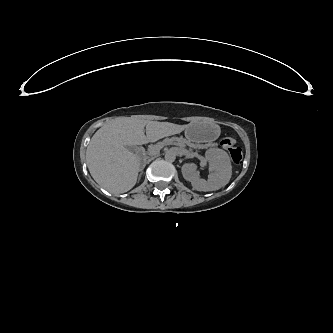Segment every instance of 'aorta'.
<instances>
[{
    "label": "aorta",
    "instance_id": "1",
    "mask_svg": "<svg viewBox=\"0 0 333 333\" xmlns=\"http://www.w3.org/2000/svg\"><path fill=\"white\" fill-rule=\"evenodd\" d=\"M176 159V154L173 151H168L165 154V160L167 162H174Z\"/></svg>",
    "mask_w": 333,
    "mask_h": 333
}]
</instances>
